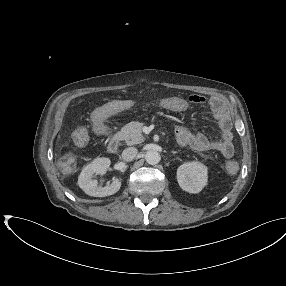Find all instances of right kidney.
<instances>
[{"mask_svg":"<svg viewBox=\"0 0 286 286\" xmlns=\"http://www.w3.org/2000/svg\"><path fill=\"white\" fill-rule=\"evenodd\" d=\"M110 163L111 161L109 158H97L82 169L78 177V185L87 195L93 197H106L119 191L121 181L118 178H113L112 183L105 187L99 186L97 179H94V174L104 175L107 172Z\"/></svg>","mask_w":286,"mask_h":286,"instance_id":"ca27d5eb","label":"right kidney"}]
</instances>
